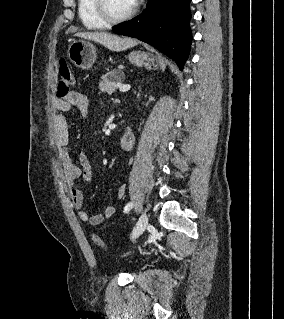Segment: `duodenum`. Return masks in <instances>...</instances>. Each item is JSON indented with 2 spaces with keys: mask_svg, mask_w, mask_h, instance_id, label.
<instances>
[{
  "mask_svg": "<svg viewBox=\"0 0 284 319\" xmlns=\"http://www.w3.org/2000/svg\"><path fill=\"white\" fill-rule=\"evenodd\" d=\"M135 142V133L133 130L126 131L120 138V148L122 150H130Z\"/></svg>",
  "mask_w": 284,
  "mask_h": 319,
  "instance_id": "410a0bca",
  "label": "duodenum"
}]
</instances>
